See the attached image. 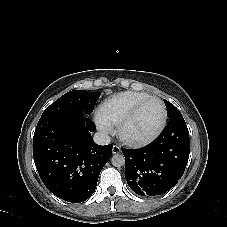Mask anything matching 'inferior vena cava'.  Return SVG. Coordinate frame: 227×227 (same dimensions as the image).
I'll list each match as a JSON object with an SVG mask.
<instances>
[{
	"label": "inferior vena cava",
	"instance_id": "602c4592",
	"mask_svg": "<svg viewBox=\"0 0 227 227\" xmlns=\"http://www.w3.org/2000/svg\"><path fill=\"white\" fill-rule=\"evenodd\" d=\"M94 142L98 145H107L110 143L111 138L104 132H97L93 136Z\"/></svg>",
	"mask_w": 227,
	"mask_h": 227
}]
</instances>
